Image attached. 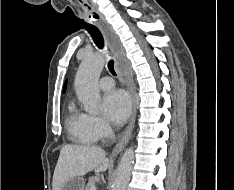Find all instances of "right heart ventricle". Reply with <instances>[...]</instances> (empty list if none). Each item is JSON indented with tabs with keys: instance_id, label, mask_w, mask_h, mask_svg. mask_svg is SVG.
Segmentation results:
<instances>
[{
	"instance_id": "e07e8e85",
	"label": "right heart ventricle",
	"mask_w": 234,
	"mask_h": 190,
	"mask_svg": "<svg viewBox=\"0 0 234 190\" xmlns=\"http://www.w3.org/2000/svg\"><path fill=\"white\" fill-rule=\"evenodd\" d=\"M66 127L71 140L76 143L91 145L99 139L90 128L85 114L78 111L74 104L67 108Z\"/></svg>"
}]
</instances>
